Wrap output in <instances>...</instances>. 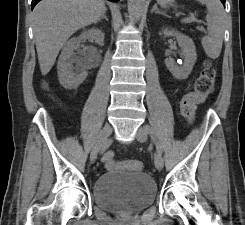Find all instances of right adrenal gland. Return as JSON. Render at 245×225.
<instances>
[{
  "instance_id": "right-adrenal-gland-1",
  "label": "right adrenal gland",
  "mask_w": 245,
  "mask_h": 225,
  "mask_svg": "<svg viewBox=\"0 0 245 225\" xmlns=\"http://www.w3.org/2000/svg\"><path fill=\"white\" fill-rule=\"evenodd\" d=\"M102 19H105L106 21H108V18L106 17V11L103 12L102 16L100 17L98 21L100 22Z\"/></svg>"
}]
</instances>
